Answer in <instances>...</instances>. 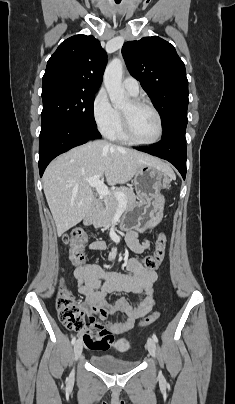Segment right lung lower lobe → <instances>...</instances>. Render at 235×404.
I'll use <instances>...</instances> for the list:
<instances>
[{
    "label": "right lung lower lobe",
    "instance_id": "right-lung-lower-lobe-1",
    "mask_svg": "<svg viewBox=\"0 0 235 404\" xmlns=\"http://www.w3.org/2000/svg\"><path fill=\"white\" fill-rule=\"evenodd\" d=\"M97 129L72 123L42 126L39 136V171L42 177L47 165L58 155L90 140L100 138Z\"/></svg>",
    "mask_w": 235,
    "mask_h": 404
}]
</instances>
